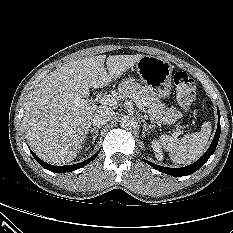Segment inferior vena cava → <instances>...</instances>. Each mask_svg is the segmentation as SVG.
<instances>
[{"label": "inferior vena cava", "mask_w": 233, "mask_h": 233, "mask_svg": "<svg viewBox=\"0 0 233 233\" xmlns=\"http://www.w3.org/2000/svg\"><path fill=\"white\" fill-rule=\"evenodd\" d=\"M114 112L109 107H100L93 116V126H101L107 124L113 118Z\"/></svg>", "instance_id": "602c4592"}]
</instances>
